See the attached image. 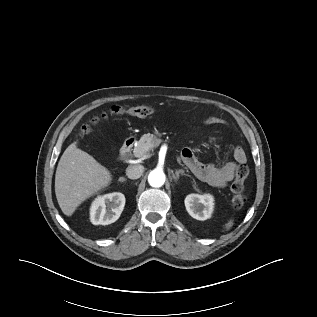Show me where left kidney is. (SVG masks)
<instances>
[{
  "label": "left kidney",
  "instance_id": "left-kidney-1",
  "mask_svg": "<svg viewBox=\"0 0 317 317\" xmlns=\"http://www.w3.org/2000/svg\"><path fill=\"white\" fill-rule=\"evenodd\" d=\"M184 203L189 215L197 220H207L213 213L214 198L210 194L187 195Z\"/></svg>",
  "mask_w": 317,
  "mask_h": 317
}]
</instances>
